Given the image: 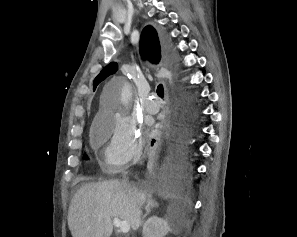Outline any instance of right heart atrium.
<instances>
[{
	"label": "right heart atrium",
	"instance_id": "right-heart-atrium-1",
	"mask_svg": "<svg viewBox=\"0 0 297 237\" xmlns=\"http://www.w3.org/2000/svg\"><path fill=\"white\" fill-rule=\"evenodd\" d=\"M94 141L105 145L104 162L111 171H119L142 156L143 139L138 123L116 110L100 114L94 126Z\"/></svg>",
	"mask_w": 297,
	"mask_h": 237
}]
</instances>
